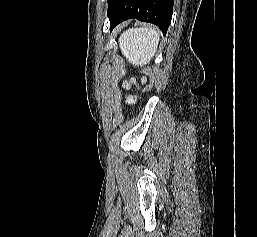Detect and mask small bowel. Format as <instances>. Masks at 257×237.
I'll list each match as a JSON object with an SVG mask.
<instances>
[{
  "label": "small bowel",
  "instance_id": "1",
  "mask_svg": "<svg viewBox=\"0 0 257 237\" xmlns=\"http://www.w3.org/2000/svg\"><path fill=\"white\" fill-rule=\"evenodd\" d=\"M127 103L128 104H133L134 103V99L133 98H128L127 99Z\"/></svg>",
  "mask_w": 257,
  "mask_h": 237
}]
</instances>
